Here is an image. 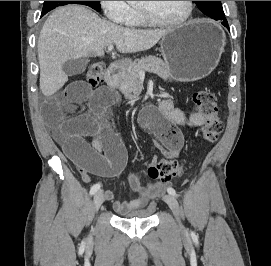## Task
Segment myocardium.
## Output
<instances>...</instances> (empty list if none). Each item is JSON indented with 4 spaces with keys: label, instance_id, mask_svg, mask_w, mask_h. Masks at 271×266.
<instances>
[{
    "label": "myocardium",
    "instance_id": "1",
    "mask_svg": "<svg viewBox=\"0 0 271 266\" xmlns=\"http://www.w3.org/2000/svg\"><path fill=\"white\" fill-rule=\"evenodd\" d=\"M186 3H187V12L185 16L176 21H167L159 19L158 17L155 16L154 13H152L150 10L144 7H139V11L142 14L143 18L150 24L164 27H179L189 22L193 16L194 11L193 1H186Z\"/></svg>",
    "mask_w": 271,
    "mask_h": 266
}]
</instances>
